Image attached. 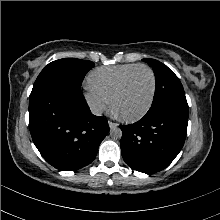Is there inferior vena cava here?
Wrapping results in <instances>:
<instances>
[{"label": "inferior vena cava", "instance_id": "obj_1", "mask_svg": "<svg viewBox=\"0 0 220 220\" xmlns=\"http://www.w3.org/2000/svg\"><path fill=\"white\" fill-rule=\"evenodd\" d=\"M90 110H91L92 114H94L96 116H100L103 112V107L101 104H92V105H90Z\"/></svg>", "mask_w": 220, "mask_h": 220}]
</instances>
